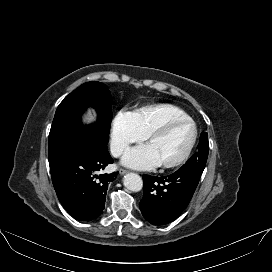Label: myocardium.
I'll use <instances>...</instances> for the list:
<instances>
[{"label":"myocardium","mask_w":272,"mask_h":272,"mask_svg":"<svg viewBox=\"0 0 272 272\" xmlns=\"http://www.w3.org/2000/svg\"><path fill=\"white\" fill-rule=\"evenodd\" d=\"M184 123L189 124L192 127L193 135H192L191 142H190L187 150L185 151V153L180 158H178L176 161H173L171 163H160L159 166L163 169H174V168L182 166L183 164H185L188 161V159L190 158V156L195 148L197 138H198V128H197L196 123L190 117L172 119V120H169V121L163 123L162 125L154 128L145 137V140L148 143L151 139L165 134L174 126L179 125V124H184Z\"/></svg>","instance_id":"1"}]
</instances>
